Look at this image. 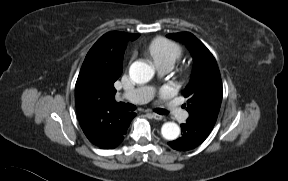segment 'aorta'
<instances>
[{
  "label": "aorta",
  "instance_id": "aorta-1",
  "mask_svg": "<svg viewBox=\"0 0 288 181\" xmlns=\"http://www.w3.org/2000/svg\"><path fill=\"white\" fill-rule=\"evenodd\" d=\"M130 78L137 84L149 82L154 76V68L143 61H135L129 69ZM162 136L169 141L175 140L180 134L179 126L174 122H166L161 128Z\"/></svg>",
  "mask_w": 288,
  "mask_h": 181
}]
</instances>
